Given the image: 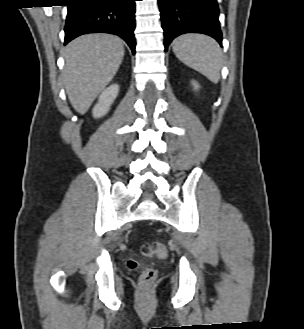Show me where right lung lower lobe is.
<instances>
[{"label": "right lung lower lobe", "instance_id": "98d812e1", "mask_svg": "<svg viewBox=\"0 0 304 329\" xmlns=\"http://www.w3.org/2000/svg\"><path fill=\"white\" fill-rule=\"evenodd\" d=\"M65 44L86 33H111L123 38L135 53L136 0H67Z\"/></svg>", "mask_w": 304, "mask_h": 329}]
</instances>
